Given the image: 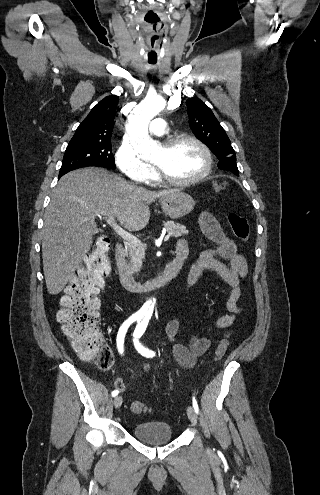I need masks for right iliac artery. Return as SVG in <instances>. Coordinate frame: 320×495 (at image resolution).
I'll return each mask as SVG.
<instances>
[{
  "label": "right iliac artery",
  "mask_w": 320,
  "mask_h": 495,
  "mask_svg": "<svg viewBox=\"0 0 320 495\" xmlns=\"http://www.w3.org/2000/svg\"><path fill=\"white\" fill-rule=\"evenodd\" d=\"M141 316L138 315V314H133L132 316H130L120 327L119 331H118V334H117V348H118V351L120 354H123V350H124V339H125V335L127 333V330L129 328V326L137 321V320H140ZM119 391L118 390H114L112 392V396H116L118 395Z\"/></svg>",
  "instance_id": "82829eb1"
}]
</instances>
